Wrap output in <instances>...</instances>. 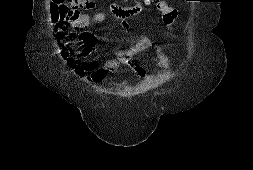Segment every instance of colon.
<instances>
[{
  "label": "colon",
  "instance_id": "5ec220e1",
  "mask_svg": "<svg viewBox=\"0 0 253 170\" xmlns=\"http://www.w3.org/2000/svg\"><path fill=\"white\" fill-rule=\"evenodd\" d=\"M143 1L148 4H155L159 2V0ZM88 7V2L86 0H50V9L55 21L75 18L82 14V10L87 9Z\"/></svg>",
  "mask_w": 253,
  "mask_h": 170
}]
</instances>
